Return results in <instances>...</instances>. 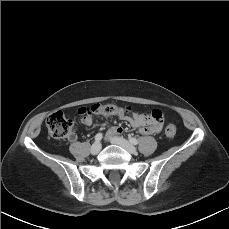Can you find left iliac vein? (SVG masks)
<instances>
[{
  "label": "left iliac vein",
  "instance_id": "4c4485c4",
  "mask_svg": "<svg viewBox=\"0 0 229 229\" xmlns=\"http://www.w3.org/2000/svg\"><path fill=\"white\" fill-rule=\"evenodd\" d=\"M111 142L113 144L119 145L122 148H124L125 150H127L129 153L131 154H136L137 153V149L136 147H134L131 143H129L127 140H125L124 138L121 137H113L111 139Z\"/></svg>",
  "mask_w": 229,
  "mask_h": 229
}]
</instances>
